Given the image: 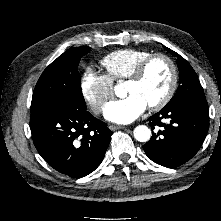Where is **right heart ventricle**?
<instances>
[{
	"label": "right heart ventricle",
	"mask_w": 221,
	"mask_h": 221,
	"mask_svg": "<svg viewBox=\"0 0 221 221\" xmlns=\"http://www.w3.org/2000/svg\"><path fill=\"white\" fill-rule=\"evenodd\" d=\"M151 52L142 49L125 48L113 51L101 60V65L112 81L127 79L135 67Z\"/></svg>",
	"instance_id": "1"
}]
</instances>
